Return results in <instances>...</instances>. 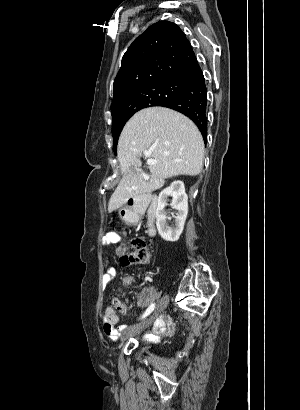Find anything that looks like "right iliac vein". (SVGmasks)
<instances>
[{
    "label": "right iliac vein",
    "instance_id": "63e3f726",
    "mask_svg": "<svg viewBox=\"0 0 300 410\" xmlns=\"http://www.w3.org/2000/svg\"><path fill=\"white\" fill-rule=\"evenodd\" d=\"M167 304H168V297L164 296L163 298H161V300L157 304L156 309H155L154 313L152 314V316L149 319L144 320V321L132 326L131 328H129L125 332L123 337L129 336V335H132V334L140 333L141 331L148 328L152 324L154 319L167 307Z\"/></svg>",
    "mask_w": 300,
    "mask_h": 410
}]
</instances>
